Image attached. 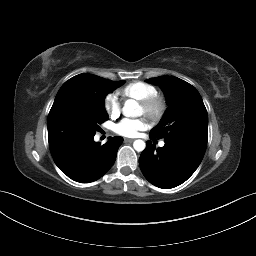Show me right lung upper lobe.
Returning a JSON list of instances; mask_svg holds the SVG:
<instances>
[{
	"instance_id": "right-lung-upper-lobe-1",
	"label": "right lung upper lobe",
	"mask_w": 256,
	"mask_h": 256,
	"mask_svg": "<svg viewBox=\"0 0 256 256\" xmlns=\"http://www.w3.org/2000/svg\"><path fill=\"white\" fill-rule=\"evenodd\" d=\"M91 76L92 78L95 77V75ZM87 79V73H83L72 77L62 85L49 112L48 121H50L52 114L62 103L79 102L87 96L92 88L91 83Z\"/></svg>"
}]
</instances>
